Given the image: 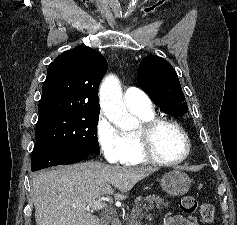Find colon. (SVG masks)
<instances>
[{
    "label": "colon",
    "mask_w": 237,
    "mask_h": 225,
    "mask_svg": "<svg viewBox=\"0 0 237 225\" xmlns=\"http://www.w3.org/2000/svg\"><path fill=\"white\" fill-rule=\"evenodd\" d=\"M180 209L185 214H194L199 211L202 219L207 223L214 221V208L209 203L199 204L194 196L187 195L180 200Z\"/></svg>",
    "instance_id": "5ec220e1"
}]
</instances>
